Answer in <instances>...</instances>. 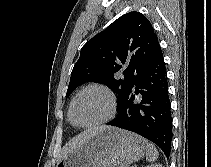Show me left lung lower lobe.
Here are the masks:
<instances>
[{"instance_id": "0a47b994", "label": "left lung lower lobe", "mask_w": 211, "mask_h": 167, "mask_svg": "<svg viewBox=\"0 0 211 167\" xmlns=\"http://www.w3.org/2000/svg\"><path fill=\"white\" fill-rule=\"evenodd\" d=\"M107 124L147 138L169 158L173 136L171 104L160 47L124 97L117 117Z\"/></svg>"}]
</instances>
